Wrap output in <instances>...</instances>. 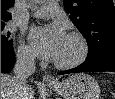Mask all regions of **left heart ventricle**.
<instances>
[{
	"label": "left heart ventricle",
	"instance_id": "1",
	"mask_svg": "<svg viewBox=\"0 0 115 99\" xmlns=\"http://www.w3.org/2000/svg\"><path fill=\"white\" fill-rule=\"evenodd\" d=\"M79 52V45L75 40L66 37L61 51L55 61H69L73 59Z\"/></svg>",
	"mask_w": 115,
	"mask_h": 99
}]
</instances>
